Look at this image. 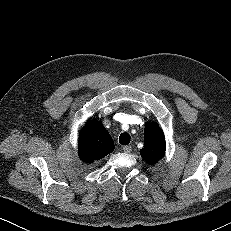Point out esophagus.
I'll return each instance as SVG.
<instances>
[{
  "mask_svg": "<svg viewBox=\"0 0 231 231\" xmlns=\"http://www.w3.org/2000/svg\"><path fill=\"white\" fill-rule=\"evenodd\" d=\"M123 151L125 153H130L132 151V147L130 145H126L123 147Z\"/></svg>",
  "mask_w": 231,
  "mask_h": 231,
  "instance_id": "esophagus-1",
  "label": "esophagus"
}]
</instances>
